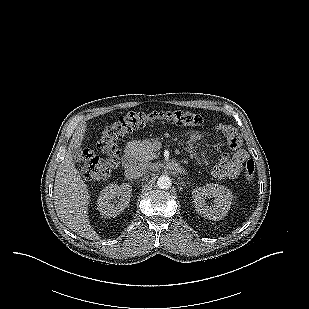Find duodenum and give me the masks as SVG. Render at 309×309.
<instances>
[{
	"mask_svg": "<svg viewBox=\"0 0 309 309\" xmlns=\"http://www.w3.org/2000/svg\"><path fill=\"white\" fill-rule=\"evenodd\" d=\"M135 160L134 152L131 149L126 150L122 158L124 168H131Z\"/></svg>",
	"mask_w": 309,
	"mask_h": 309,
	"instance_id": "duodenum-1",
	"label": "duodenum"
}]
</instances>
